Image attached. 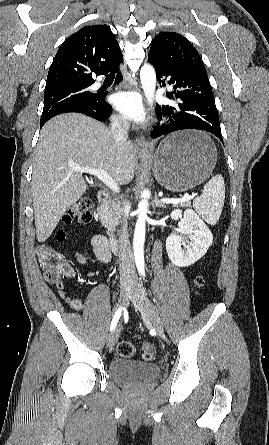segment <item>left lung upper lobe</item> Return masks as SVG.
I'll use <instances>...</instances> for the list:
<instances>
[{"label":"left lung upper lobe","instance_id":"1","mask_svg":"<svg viewBox=\"0 0 269 445\" xmlns=\"http://www.w3.org/2000/svg\"><path fill=\"white\" fill-rule=\"evenodd\" d=\"M149 61L170 68L205 69L197 50L182 35L160 32L152 41Z\"/></svg>","mask_w":269,"mask_h":445}]
</instances>
